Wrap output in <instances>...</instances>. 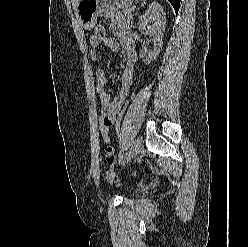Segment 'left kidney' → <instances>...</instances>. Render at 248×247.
I'll use <instances>...</instances> for the list:
<instances>
[{
  "instance_id": "obj_1",
  "label": "left kidney",
  "mask_w": 248,
  "mask_h": 247,
  "mask_svg": "<svg viewBox=\"0 0 248 247\" xmlns=\"http://www.w3.org/2000/svg\"><path fill=\"white\" fill-rule=\"evenodd\" d=\"M166 15L162 6L158 3H152L145 13L140 17L138 29L141 33L154 38L153 51H141L140 57L146 63H150L160 53L162 47V38L165 31Z\"/></svg>"
}]
</instances>
